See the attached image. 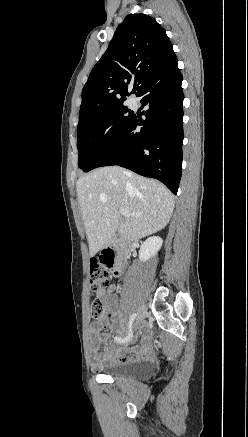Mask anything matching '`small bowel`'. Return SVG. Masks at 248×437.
I'll return each mask as SVG.
<instances>
[{"instance_id":"c3829d8e","label":"small bowel","mask_w":248,"mask_h":437,"mask_svg":"<svg viewBox=\"0 0 248 437\" xmlns=\"http://www.w3.org/2000/svg\"><path fill=\"white\" fill-rule=\"evenodd\" d=\"M98 295L104 298L107 306L114 312L118 306V297L114 294V286L110 285L101 289ZM108 327V321L104 320L100 323H94L89 329L90 334V363L93 370H99L103 366L112 364H122L136 359L149 358L152 354V349L149 343L148 336L143 329H140L142 343L133 345V335L126 343L117 342L115 345L107 346L104 352H100L101 344L108 343L111 340L109 335L101 337V329ZM115 340V337H114Z\"/></svg>"}]
</instances>
